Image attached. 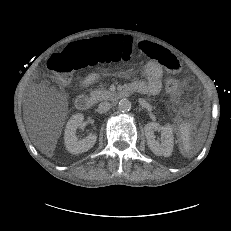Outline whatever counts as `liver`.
Instances as JSON below:
<instances>
[{
  "label": "liver",
  "instance_id": "liver-1",
  "mask_svg": "<svg viewBox=\"0 0 231 231\" xmlns=\"http://www.w3.org/2000/svg\"><path fill=\"white\" fill-rule=\"evenodd\" d=\"M38 145V148L42 151V152H44L45 154H47L48 156H52V152H53V150H54V146H50V147H48V146H46V145H44V144H37Z\"/></svg>",
  "mask_w": 231,
  "mask_h": 231
}]
</instances>
